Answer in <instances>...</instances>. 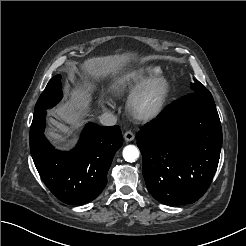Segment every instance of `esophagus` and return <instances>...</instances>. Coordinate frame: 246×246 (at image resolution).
<instances>
[{"instance_id":"34e87169","label":"esophagus","mask_w":246,"mask_h":246,"mask_svg":"<svg viewBox=\"0 0 246 246\" xmlns=\"http://www.w3.org/2000/svg\"><path fill=\"white\" fill-rule=\"evenodd\" d=\"M135 138V135L133 132L131 131H127L124 133V139L127 141V142H131L133 141Z\"/></svg>"}]
</instances>
